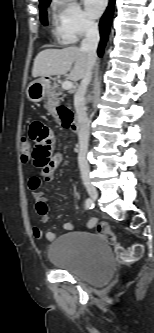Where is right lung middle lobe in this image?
<instances>
[{
	"label": "right lung middle lobe",
	"mask_w": 154,
	"mask_h": 333,
	"mask_svg": "<svg viewBox=\"0 0 154 333\" xmlns=\"http://www.w3.org/2000/svg\"><path fill=\"white\" fill-rule=\"evenodd\" d=\"M50 0H43L40 2V19L44 25H47V12L46 8L49 6Z\"/></svg>",
	"instance_id": "dd1d6c3e"
}]
</instances>
